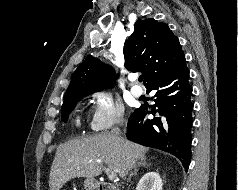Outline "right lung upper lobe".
I'll use <instances>...</instances> for the list:
<instances>
[{"label": "right lung upper lobe", "mask_w": 238, "mask_h": 190, "mask_svg": "<svg viewBox=\"0 0 238 190\" xmlns=\"http://www.w3.org/2000/svg\"><path fill=\"white\" fill-rule=\"evenodd\" d=\"M134 28L123 51L125 67L132 72L141 71L144 85L148 87L153 81L175 70L185 55L178 38L167 24L149 18L137 21ZM115 78L110 66L88 55L74 72L65 98L112 88Z\"/></svg>", "instance_id": "cb5924a9"}]
</instances>
